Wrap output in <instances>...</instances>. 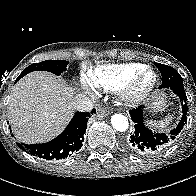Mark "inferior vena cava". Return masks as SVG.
<instances>
[{
  "label": "inferior vena cava",
  "mask_w": 196,
  "mask_h": 196,
  "mask_svg": "<svg viewBox=\"0 0 196 196\" xmlns=\"http://www.w3.org/2000/svg\"><path fill=\"white\" fill-rule=\"evenodd\" d=\"M72 107L78 111L86 112L93 108L91 99L83 94H78L72 99Z\"/></svg>",
  "instance_id": "obj_1"
}]
</instances>
